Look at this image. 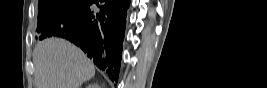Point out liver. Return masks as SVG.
<instances>
[{"label":"liver","mask_w":267,"mask_h":88,"mask_svg":"<svg viewBox=\"0 0 267 88\" xmlns=\"http://www.w3.org/2000/svg\"><path fill=\"white\" fill-rule=\"evenodd\" d=\"M33 63L36 88H80L95 75L94 65L81 49L55 37L37 43Z\"/></svg>","instance_id":"6515ba94"}]
</instances>
